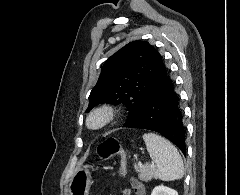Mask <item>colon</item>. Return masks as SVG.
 <instances>
[{"label": "colon", "instance_id": "obj_1", "mask_svg": "<svg viewBox=\"0 0 240 195\" xmlns=\"http://www.w3.org/2000/svg\"><path fill=\"white\" fill-rule=\"evenodd\" d=\"M100 157L107 158L117 154L119 159V167L115 169V173L124 176L128 171L127 152L121 148L120 143L115 139H107L103 142L98 150Z\"/></svg>", "mask_w": 240, "mask_h": 195}]
</instances>
